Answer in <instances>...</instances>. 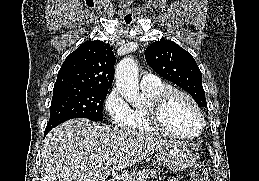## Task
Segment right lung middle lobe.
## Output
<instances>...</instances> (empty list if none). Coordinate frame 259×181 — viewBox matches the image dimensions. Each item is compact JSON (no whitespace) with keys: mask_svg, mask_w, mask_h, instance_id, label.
<instances>
[{"mask_svg":"<svg viewBox=\"0 0 259 181\" xmlns=\"http://www.w3.org/2000/svg\"><path fill=\"white\" fill-rule=\"evenodd\" d=\"M108 89L60 87L53 89L50 119L45 130L73 118L103 120V102Z\"/></svg>","mask_w":259,"mask_h":181,"instance_id":"dd1d6c3e","label":"right lung middle lobe"}]
</instances>
